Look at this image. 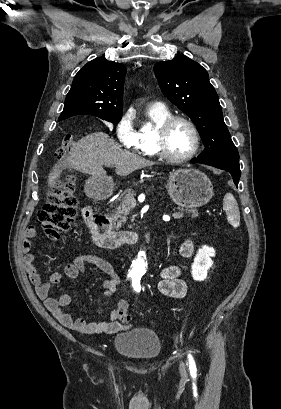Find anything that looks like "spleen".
<instances>
[{"label":"spleen","mask_w":281,"mask_h":409,"mask_svg":"<svg viewBox=\"0 0 281 409\" xmlns=\"http://www.w3.org/2000/svg\"><path fill=\"white\" fill-rule=\"evenodd\" d=\"M223 209L227 215L228 223H230L234 229H237L240 225V211L238 202L232 192H226L223 198Z\"/></svg>","instance_id":"obj_1"}]
</instances>
